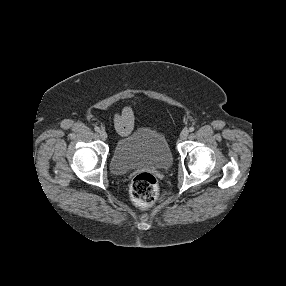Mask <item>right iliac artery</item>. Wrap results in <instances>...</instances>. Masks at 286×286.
I'll use <instances>...</instances> for the list:
<instances>
[{
    "label": "right iliac artery",
    "instance_id": "82829eb1",
    "mask_svg": "<svg viewBox=\"0 0 286 286\" xmlns=\"http://www.w3.org/2000/svg\"><path fill=\"white\" fill-rule=\"evenodd\" d=\"M94 130H95L96 132H99V131H100V128H99L98 126H96V127L94 128Z\"/></svg>",
    "mask_w": 286,
    "mask_h": 286
}]
</instances>
